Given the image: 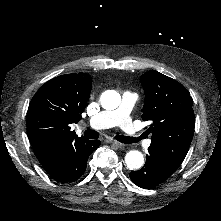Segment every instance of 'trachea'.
<instances>
[{"mask_svg":"<svg viewBox=\"0 0 221 221\" xmlns=\"http://www.w3.org/2000/svg\"><path fill=\"white\" fill-rule=\"evenodd\" d=\"M85 138L88 139H97L99 137L98 133L94 130H86L84 132ZM115 139L121 143L125 144H132V143H139L140 139L139 137H129V136H124V135H117L115 136Z\"/></svg>","mask_w":221,"mask_h":221,"instance_id":"obj_1","label":"trachea"}]
</instances>
